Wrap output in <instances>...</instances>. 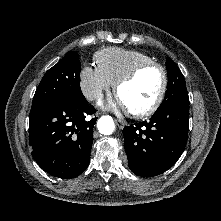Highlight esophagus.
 Segmentation results:
<instances>
[{
  "label": "esophagus",
  "mask_w": 221,
  "mask_h": 221,
  "mask_svg": "<svg viewBox=\"0 0 221 221\" xmlns=\"http://www.w3.org/2000/svg\"><path fill=\"white\" fill-rule=\"evenodd\" d=\"M115 123L117 124V126L120 128V129H123L125 124L124 122H122L121 120L119 119H115Z\"/></svg>",
  "instance_id": "1"
}]
</instances>
